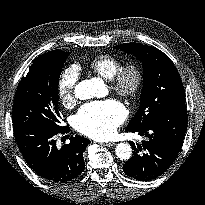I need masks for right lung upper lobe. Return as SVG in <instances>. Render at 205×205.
Returning <instances> with one entry per match:
<instances>
[{
    "label": "right lung upper lobe",
    "mask_w": 205,
    "mask_h": 205,
    "mask_svg": "<svg viewBox=\"0 0 205 205\" xmlns=\"http://www.w3.org/2000/svg\"><path fill=\"white\" fill-rule=\"evenodd\" d=\"M61 52H63V51L62 50H52V51H50L48 53H45V54H43L41 56H38L36 59H34V61H37V60H39L41 58H44V57L56 56V55L60 54Z\"/></svg>",
    "instance_id": "right-lung-upper-lobe-1"
}]
</instances>
